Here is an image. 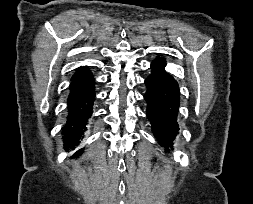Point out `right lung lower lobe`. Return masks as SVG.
Here are the masks:
<instances>
[{
	"instance_id": "obj_1",
	"label": "right lung lower lobe",
	"mask_w": 253,
	"mask_h": 204,
	"mask_svg": "<svg viewBox=\"0 0 253 204\" xmlns=\"http://www.w3.org/2000/svg\"><path fill=\"white\" fill-rule=\"evenodd\" d=\"M95 80L88 67H80L71 78L67 124L63 128L65 149H74L86 130L95 100ZM83 138V136H82ZM78 150L74 156L81 154Z\"/></svg>"
}]
</instances>
